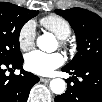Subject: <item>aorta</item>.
Masks as SVG:
<instances>
[{
  "instance_id": "762f6f07",
  "label": "aorta",
  "mask_w": 102,
  "mask_h": 102,
  "mask_svg": "<svg viewBox=\"0 0 102 102\" xmlns=\"http://www.w3.org/2000/svg\"><path fill=\"white\" fill-rule=\"evenodd\" d=\"M37 46L40 50L46 52H53L57 48V42L55 36L51 33H45L37 38ZM66 83L63 79L55 78L50 82V89L55 94L64 93Z\"/></svg>"
}]
</instances>
